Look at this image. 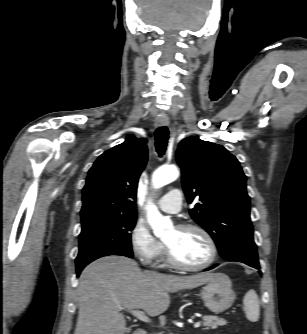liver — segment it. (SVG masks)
Wrapping results in <instances>:
<instances>
[{"label": "liver", "instance_id": "1", "mask_svg": "<svg viewBox=\"0 0 307 334\" xmlns=\"http://www.w3.org/2000/svg\"><path fill=\"white\" fill-rule=\"evenodd\" d=\"M213 279V273L182 277L141 271L136 261L124 256L100 258L80 275L74 334H124L126 321L120 308L142 309L155 317L168 309L169 293L192 289Z\"/></svg>", "mask_w": 307, "mask_h": 334}]
</instances>
